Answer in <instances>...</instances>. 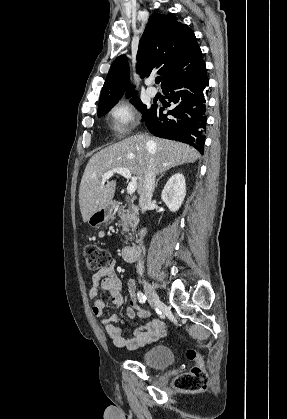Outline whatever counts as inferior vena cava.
I'll list each match as a JSON object with an SVG mask.
<instances>
[{"label": "inferior vena cava", "mask_w": 287, "mask_h": 419, "mask_svg": "<svg viewBox=\"0 0 287 419\" xmlns=\"http://www.w3.org/2000/svg\"><path fill=\"white\" fill-rule=\"evenodd\" d=\"M152 143L153 142L149 140L147 143L148 147H150ZM155 178H156V170L154 167V159L151 158L147 165L144 185L140 192V197H139V207L142 213H144L148 209L149 205L151 204V199H152L154 188H155ZM137 272L140 275H142L144 272V262L142 259L138 260Z\"/></svg>", "instance_id": "inferior-vena-cava-1"}]
</instances>
